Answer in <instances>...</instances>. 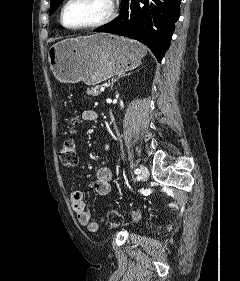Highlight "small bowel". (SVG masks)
<instances>
[{
  "label": "small bowel",
  "mask_w": 240,
  "mask_h": 281,
  "mask_svg": "<svg viewBox=\"0 0 240 281\" xmlns=\"http://www.w3.org/2000/svg\"><path fill=\"white\" fill-rule=\"evenodd\" d=\"M84 121H95L97 119V113L94 110H86L82 114ZM110 145L105 144V150H110ZM113 173L110 167L104 166L99 168L94 181V190L100 196H105L111 191V180ZM71 207L76 214L78 222L86 226L89 231L96 232L99 228V224L92 220L91 213L86 209L83 193L79 190H73L70 193Z\"/></svg>",
  "instance_id": "obj_1"
}]
</instances>
